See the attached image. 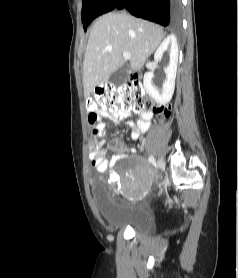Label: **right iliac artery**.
Segmentation results:
<instances>
[{"instance_id": "1", "label": "right iliac artery", "mask_w": 238, "mask_h": 278, "mask_svg": "<svg viewBox=\"0 0 238 278\" xmlns=\"http://www.w3.org/2000/svg\"><path fill=\"white\" fill-rule=\"evenodd\" d=\"M149 163H155L154 157L151 155L148 159Z\"/></svg>"}]
</instances>
